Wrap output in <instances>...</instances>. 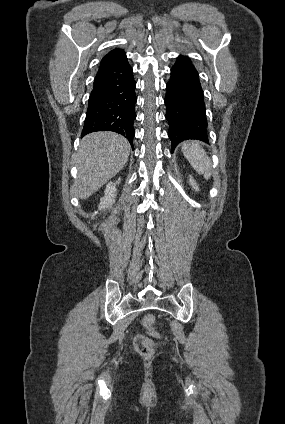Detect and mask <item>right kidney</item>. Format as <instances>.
Returning a JSON list of instances; mask_svg holds the SVG:
<instances>
[{
  "label": "right kidney",
  "instance_id": "right-kidney-1",
  "mask_svg": "<svg viewBox=\"0 0 285 424\" xmlns=\"http://www.w3.org/2000/svg\"><path fill=\"white\" fill-rule=\"evenodd\" d=\"M120 181H121V179L119 178L116 183L110 182V183L107 184V186L104 190V196L100 199V204L98 206L99 210L109 208L115 203V198L117 196L116 185L119 184Z\"/></svg>",
  "mask_w": 285,
  "mask_h": 424
}]
</instances>
